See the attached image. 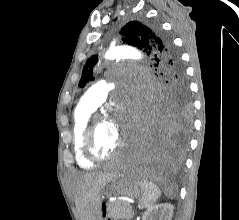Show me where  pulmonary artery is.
Here are the masks:
<instances>
[{"mask_svg": "<svg viewBox=\"0 0 239 220\" xmlns=\"http://www.w3.org/2000/svg\"><path fill=\"white\" fill-rule=\"evenodd\" d=\"M110 85L105 80H101L92 85L81 97L80 105L96 110L107 98Z\"/></svg>", "mask_w": 239, "mask_h": 220, "instance_id": "e3ab8cb5", "label": "pulmonary artery"}]
</instances>
